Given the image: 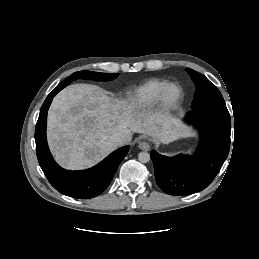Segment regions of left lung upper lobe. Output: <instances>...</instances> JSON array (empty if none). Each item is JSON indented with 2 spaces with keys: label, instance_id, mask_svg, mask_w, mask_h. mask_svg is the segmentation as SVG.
<instances>
[{
  "label": "left lung upper lobe",
  "instance_id": "obj_1",
  "mask_svg": "<svg viewBox=\"0 0 259 259\" xmlns=\"http://www.w3.org/2000/svg\"><path fill=\"white\" fill-rule=\"evenodd\" d=\"M196 85V92L192 102V109L206 106H226L225 101L218 90L204 75L187 68Z\"/></svg>",
  "mask_w": 259,
  "mask_h": 259
}]
</instances>
